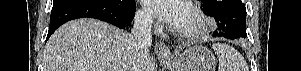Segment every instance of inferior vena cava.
Returning a JSON list of instances; mask_svg holds the SVG:
<instances>
[{
	"label": "inferior vena cava",
	"instance_id": "obj_1",
	"mask_svg": "<svg viewBox=\"0 0 301 71\" xmlns=\"http://www.w3.org/2000/svg\"><path fill=\"white\" fill-rule=\"evenodd\" d=\"M152 16L148 13H138L134 18V25L131 30L136 39L137 47L143 52L148 51L152 44Z\"/></svg>",
	"mask_w": 301,
	"mask_h": 71
}]
</instances>
